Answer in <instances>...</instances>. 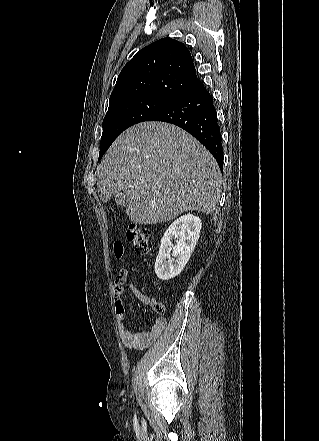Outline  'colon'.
Here are the masks:
<instances>
[{
	"mask_svg": "<svg viewBox=\"0 0 319 441\" xmlns=\"http://www.w3.org/2000/svg\"><path fill=\"white\" fill-rule=\"evenodd\" d=\"M128 240L138 255H145L149 250L150 231L145 226L131 225L128 231ZM155 310L163 312V306L157 304Z\"/></svg>",
	"mask_w": 319,
	"mask_h": 441,
	"instance_id": "1",
	"label": "colon"
}]
</instances>
